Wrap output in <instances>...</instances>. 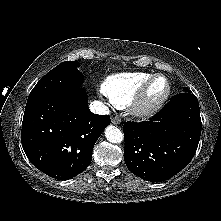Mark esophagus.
I'll return each mask as SVG.
<instances>
[{"mask_svg": "<svg viewBox=\"0 0 221 221\" xmlns=\"http://www.w3.org/2000/svg\"><path fill=\"white\" fill-rule=\"evenodd\" d=\"M111 122L113 124H120L121 123V119L118 116H114V117H112Z\"/></svg>", "mask_w": 221, "mask_h": 221, "instance_id": "obj_1", "label": "esophagus"}]
</instances>
